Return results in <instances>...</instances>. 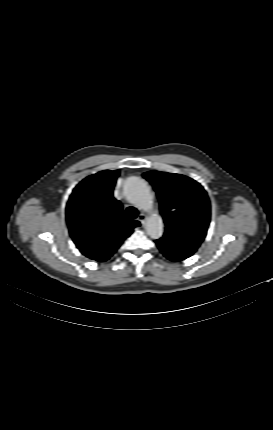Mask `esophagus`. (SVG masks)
<instances>
[{"label": "esophagus", "mask_w": 273, "mask_h": 430, "mask_svg": "<svg viewBox=\"0 0 273 430\" xmlns=\"http://www.w3.org/2000/svg\"><path fill=\"white\" fill-rule=\"evenodd\" d=\"M138 220L142 223L145 224L146 220H147V215L144 213H141L138 217Z\"/></svg>", "instance_id": "esophagus-1"}]
</instances>
